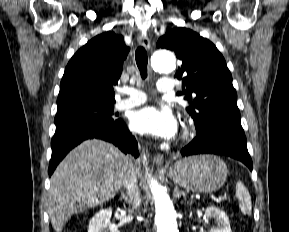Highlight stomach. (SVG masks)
<instances>
[{
	"instance_id": "1",
	"label": "stomach",
	"mask_w": 289,
	"mask_h": 232,
	"mask_svg": "<svg viewBox=\"0 0 289 232\" xmlns=\"http://www.w3.org/2000/svg\"><path fill=\"white\" fill-rule=\"evenodd\" d=\"M227 166L217 156H193L177 161L167 175L186 190L199 193L217 191L227 177Z\"/></svg>"
}]
</instances>
